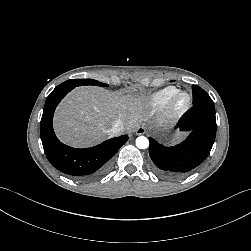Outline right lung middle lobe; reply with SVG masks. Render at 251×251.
I'll return each mask as SVG.
<instances>
[{
	"instance_id": "1",
	"label": "right lung middle lobe",
	"mask_w": 251,
	"mask_h": 251,
	"mask_svg": "<svg viewBox=\"0 0 251 251\" xmlns=\"http://www.w3.org/2000/svg\"><path fill=\"white\" fill-rule=\"evenodd\" d=\"M83 85H95V86H101V87H107V84H103L99 81L93 80V79H71L63 82L59 86H69V87H77V86H83Z\"/></svg>"
}]
</instances>
